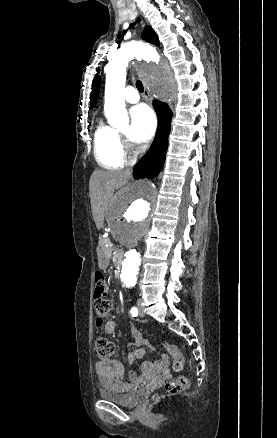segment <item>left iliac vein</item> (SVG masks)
<instances>
[{"label":"left iliac vein","mask_w":277,"mask_h":438,"mask_svg":"<svg viewBox=\"0 0 277 438\" xmlns=\"http://www.w3.org/2000/svg\"><path fill=\"white\" fill-rule=\"evenodd\" d=\"M137 305H138V310H139V316H144L145 314H144V311H143V308L141 305V300L138 301Z\"/></svg>","instance_id":"1"}]
</instances>
